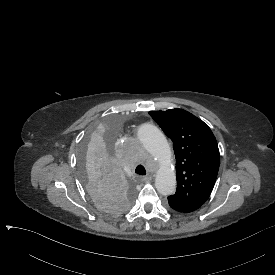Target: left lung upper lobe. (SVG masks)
<instances>
[{
    "instance_id": "1",
    "label": "left lung upper lobe",
    "mask_w": 275,
    "mask_h": 275,
    "mask_svg": "<svg viewBox=\"0 0 275 275\" xmlns=\"http://www.w3.org/2000/svg\"><path fill=\"white\" fill-rule=\"evenodd\" d=\"M150 116L173 141L176 157V193L169 206L193 212L209 198L218 174L220 155L210 128L183 109L150 111Z\"/></svg>"
}]
</instances>
